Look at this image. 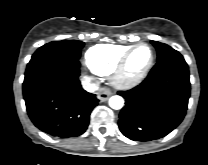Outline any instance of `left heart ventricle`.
Segmentation results:
<instances>
[{"instance_id":"obj_1","label":"left heart ventricle","mask_w":208,"mask_h":165,"mask_svg":"<svg viewBox=\"0 0 208 165\" xmlns=\"http://www.w3.org/2000/svg\"><path fill=\"white\" fill-rule=\"evenodd\" d=\"M150 58L149 49L142 47L138 49L132 56L129 63V71L134 74L142 70L148 63Z\"/></svg>"}]
</instances>
